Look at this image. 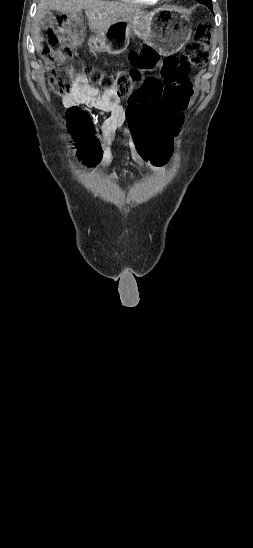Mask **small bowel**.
<instances>
[{"label":"small bowel","instance_id":"obj_1","mask_svg":"<svg viewBox=\"0 0 253 548\" xmlns=\"http://www.w3.org/2000/svg\"><path fill=\"white\" fill-rule=\"evenodd\" d=\"M153 60H157L155 57ZM139 72H143L140 71ZM65 106L84 105L88 108L97 109L109 114L101 125L103 143L101 145V154L93 162L97 167L108 165L114 157V138L117 131H122L127 137L130 159L139 166H147L160 174L163 166H152L150 159H143L138 155L139 149L136 147V141L129 132V126L126 125L127 108L120 105L119 94L116 89L100 91L91 87L85 76L78 75L75 79L72 90L63 97ZM171 153V150H170ZM113 180H118V175L112 173Z\"/></svg>","mask_w":253,"mask_h":548}]
</instances>
